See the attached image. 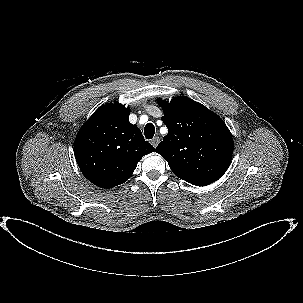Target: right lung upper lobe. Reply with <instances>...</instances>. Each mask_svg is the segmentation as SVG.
I'll return each instance as SVG.
<instances>
[{"label": "right lung upper lobe", "mask_w": 303, "mask_h": 303, "mask_svg": "<svg viewBox=\"0 0 303 303\" xmlns=\"http://www.w3.org/2000/svg\"><path fill=\"white\" fill-rule=\"evenodd\" d=\"M130 109L109 103L100 107L79 130L74 154L82 174L92 183L110 189L124 183L140 159L153 152L129 122Z\"/></svg>", "instance_id": "1"}]
</instances>
